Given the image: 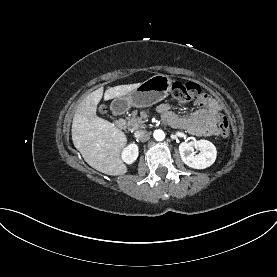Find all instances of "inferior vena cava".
Wrapping results in <instances>:
<instances>
[{
	"label": "inferior vena cava",
	"mask_w": 277,
	"mask_h": 277,
	"mask_svg": "<svg viewBox=\"0 0 277 277\" xmlns=\"http://www.w3.org/2000/svg\"><path fill=\"white\" fill-rule=\"evenodd\" d=\"M135 137L144 142L150 139V133L146 130H139L135 132Z\"/></svg>",
	"instance_id": "inferior-vena-cava-1"
}]
</instances>
